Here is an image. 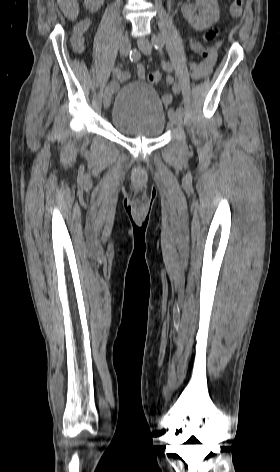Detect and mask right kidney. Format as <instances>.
Masks as SVG:
<instances>
[{
    "mask_svg": "<svg viewBox=\"0 0 280 472\" xmlns=\"http://www.w3.org/2000/svg\"><path fill=\"white\" fill-rule=\"evenodd\" d=\"M104 0H85V7L91 12H96L100 9Z\"/></svg>",
    "mask_w": 280,
    "mask_h": 472,
    "instance_id": "ca27d5eb",
    "label": "right kidney"
}]
</instances>
